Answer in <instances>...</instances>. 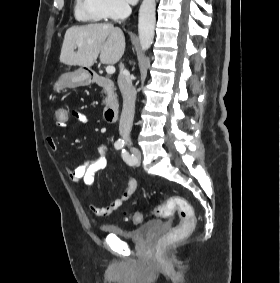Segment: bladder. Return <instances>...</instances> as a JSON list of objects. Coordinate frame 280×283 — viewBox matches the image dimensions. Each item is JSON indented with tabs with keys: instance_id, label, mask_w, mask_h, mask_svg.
<instances>
[{
	"instance_id": "obj_1",
	"label": "bladder",
	"mask_w": 280,
	"mask_h": 283,
	"mask_svg": "<svg viewBox=\"0 0 280 283\" xmlns=\"http://www.w3.org/2000/svg\"><path fill=\"white\" fill-rule=\"evenodd\" d=\"M163 225L164 222L162 220L153 219L133 229H125L118 224H107L102 227V231L106 234H112L122 239L140 242L160 230Z\"/></svg>"
}]
</instances>
